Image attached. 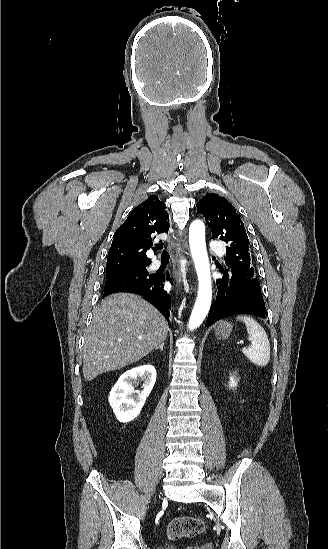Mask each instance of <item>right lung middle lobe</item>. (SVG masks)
I'll list each match as a JSON object with an SVG mask.
<instances>
[{"mask_svg":"<svg viewBox=\"0 0 328 549\" xmlns=\"http://www.w3.org/2000/svg\"><path fill=\"white\" fill-rule=\"evenodd\" d=\"M156 273H149L146 267L130 268L107 273L104 292L113 291L125 286L149 283Z\"/></svg>","mask_w":328,"mask_h":549,"instance_id":"right-lung-middle-lobe-1","label":"right lung middle lobe"}]
</instances>
